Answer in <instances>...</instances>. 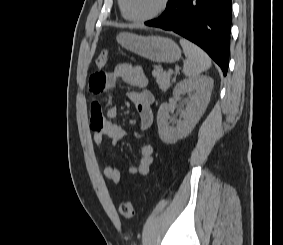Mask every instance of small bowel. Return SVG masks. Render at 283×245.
I'll return each mask as SVG.
<instances>
[{
	"mask_svg": "<svg viewBox=\"0 0 283 245\" xmlns=\"http://www.w3.org/2000/svg\"><path fill=\"white\" fill-rule=\"evenodd\" d=\"M118 81H122L139 90L129 91L128 98L135 104L143 131H149L154 124L152 92L146 89L148 78L144 70L139 66L128 63L118 64L113 72H96L89 78L88 88L92 94H99L116 86ZM117 108L115 105L109 106L103 113L97 102H93L91 108L90 126L93 131L92 140L101 150L103 157L108 160V155L103 149L104 139L108 138L113 144L118 143L125 135L124 129L115 121ZM153 162V147L150 144L144 145L140 151L139 163L128 168L130 175H147ZM103 176L115 183H119L123 178L122 171L108 162L103 169Z\"/></svg>",
	"mask_w": 283,
	"mask_h": 245,
	"instance_id": "1",
	"label": "small bowel"
}]
</instances>
